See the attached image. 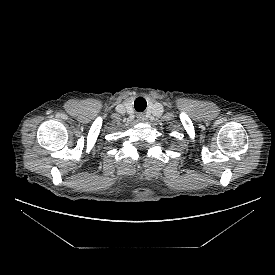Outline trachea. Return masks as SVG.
Segmentation results:
<instances>
[{
    "label": "trachea",
    "instance_id": "3493384b",
    "mask_svg": "<svg viewBox=\"0 0 275 275\" xmlns=\"http://www.w3.org/2000/svg\"><path fill=\"white\" fill-rule=\"evenodd\" d=\"M147 102L143 97H138L134 102L135 110L138 112H143L146 109Z\"/></svg>",
    "mask_w": 275,
    "mask_h": 275
}]
</instances>
